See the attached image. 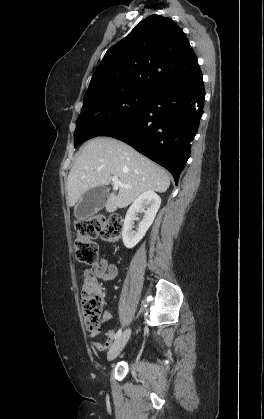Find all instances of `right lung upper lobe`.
I'll return each mask as SVG.
<instances>
[{"instance_id": "1", "label": "right lung upper lobe", "mask_w": 264, "mask_h": 419, "mask_svg": "<svg viewBox=\"0 0 264 419\" xmlns=\"http://www.w3.org/2000/svg\"><path fill=\"white\" fill-rule=\"evenodd\" d=\"M201 77L182 29L170 18L151 15L106 52L85 96L125 88L154 92L174 84H192Z\"/></svg>"}]
</instances>
